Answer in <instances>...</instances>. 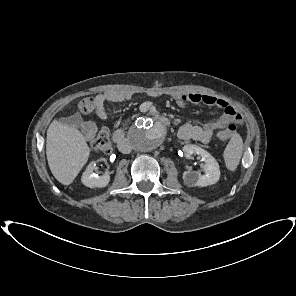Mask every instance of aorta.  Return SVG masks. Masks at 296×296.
I'll use <instances>...</instances> for the list:
<instances>
[{
	"label": "aorta",
	"mask_w": 296,
	"mask_h": 296,
	"mask_svg": "<svg viewBox=\"0 0 296 296\" xmlns=\"http://www.w3.org/2000/svg\"><path fill=\"white\" fill-rule=\"evenodd\" d=\"M166 135V128L149 117H139L128 132L133 148L138 151H150L159 147Z\"/></svg>",
	"instance_id": "762f6f07"
}]
</instances>
